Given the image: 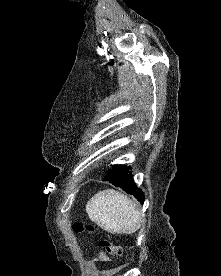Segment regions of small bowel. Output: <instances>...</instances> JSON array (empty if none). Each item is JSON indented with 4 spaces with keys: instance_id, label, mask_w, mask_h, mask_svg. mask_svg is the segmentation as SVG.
I'll return each mask as SVG.
<instances>
[{
    "instance_id": "1",
    "label": "small bowel",
    "mask_w": 221,
    "mask_h": 276,
    "mask_svg": "<svg viewBox=\"0 0 221 276\" xmlns=\"http://www.w3.org/2000/svg\"><path fill=\"white\" fill-rule=\"evenodd\" d=\"M100 259L102 260V261H108V257H107V255L105 254V253H100Z\"/></svg>"
}]
</instances>
